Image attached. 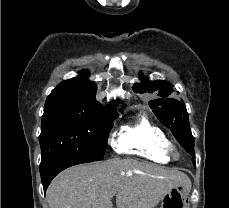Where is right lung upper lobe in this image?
I'll return each mask as SVG.
<instances>
[{"instance_id": "cb5924a9", "label": "right lung upper lobe", "mask_w": 229, "mask_h": 208, "mask_svg": "<svg viewBox=\"0 0 229 208\" xmlns=\"http://www.w3.org/2000/svg\"><path fill=\"white\" fill-rule=\"evenodd\" d=\"M88 74L82 72L80 78H72L61 82L47 97L45 105H65L104 120H112L118 116L115 101L104 108L95 99L97 86L89 81Z\"/></svg>"}]
</instances>
